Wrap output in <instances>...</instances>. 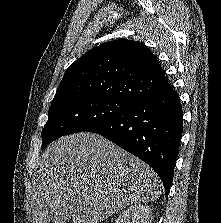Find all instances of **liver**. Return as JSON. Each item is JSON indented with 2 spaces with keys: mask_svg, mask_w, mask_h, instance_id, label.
<instances>
[{
  "mask_svg": "<svg viewBox=\"0 0 221 223\" xmlns=\"http://www.w3.org/2000/svg\"><path fill=\"white\" fill-rule=\"evenodd\" d=\"M32 223H100L120 209L154 201L161 181L147 164L104 137L63 136L39 158Z\"/></svg>",
  "mask_w": 221,
  "mask_h": 223,
  "instance_id": "liver-1",
  "label": "liver"
}]
</instances>
